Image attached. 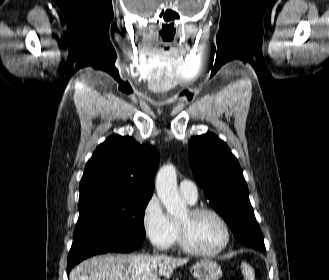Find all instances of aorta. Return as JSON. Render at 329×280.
I'll return each mask as SVG.
<instances>
[{
    "label": "aorta",
    "mask_w": 329,
    "mask_h": 280,
    "mask_svg": "<svg viewBox=\"0 0 329 280\" xmlns=\"http://www.w3.org/2000/svg\"><path fill=\"white\" fill-rule=\"evenodd\" d=\"M155 187L169 215L180 217L187 213V207L178 192L176 169L173 165L160 168L156 175Z\"/></svg>",
    "instance_id": "1"
}]
</instances>
